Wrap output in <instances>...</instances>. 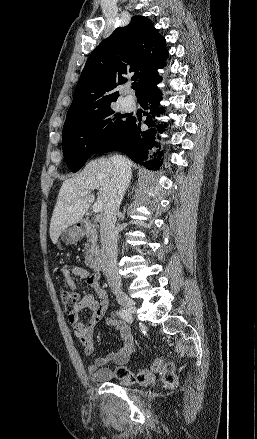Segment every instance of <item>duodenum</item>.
<instances>
[{
  "label": "duodenum",
  "mask_w": 257,
  "mask_h": 439,
  "mask_svg": "<svg viewBox=\"0 0 257 439\" xmlns=\"http://www.w3.org/2000/svg\"><path fill=\"white\" fill-rule=\"evenodd\" d=\"M92 228L93 226L91 224L87 222H80L78 225V232L80 235H82ZM103 265V256L100 252H97L90 260V267L94 272L100 273L103 270Z\"/></svg>",
  "instance_id": "duodenum-1"
}]
</instances>
